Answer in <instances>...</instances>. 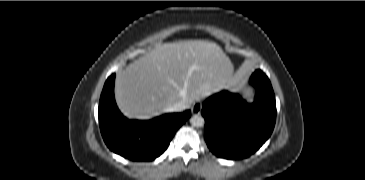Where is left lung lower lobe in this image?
<instances>
[{"label": "left lung lower lobe", "mask_w": 365, "mask_h": 180, "mask_svg": "<svg viewBox=\"0 0 365 180\" xmlns=\"http://www.w3.org/2000/svg\"><path fill=\"white\" fill-rule=\"evenodd\" d=\"M250 84L256 88L253 103H247L239 94L223 91L203 104L205 141L218 157L246 158L272 134L276 101L270 80L261 70H256Z\"/></svg>", "instance_id": "0a47b994"}]
</instances>
